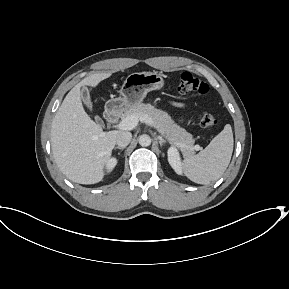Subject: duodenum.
<instances>
[{
  "label": "duodenum",
  "instance_id": "1",
  "mask_svg": "<svg viewBox=\"0 0 289 289\" xmlns=\"http://www.w3.org/2000/svg\"><path fill=\"white\" fill-rule=\"evenodd\" d=\"M121 115L119 107L115 104H110L105 110V118L108 123H115Z\"/></svg>",
  "mask_w": 289,
  "mask_h": 289
}]
</instances>
